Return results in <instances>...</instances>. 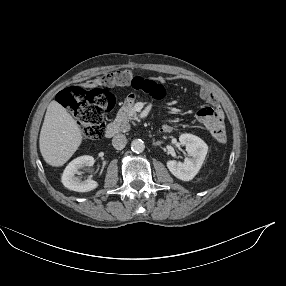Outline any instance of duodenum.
<instances>
[{
  "mask_svg": "<svg viewBox=\"0 0 286 286\" xmlns=\"http://www.w3.org/2000/svg\"><path fill=\"white\" fill-rule=\"evenodd\" d=\"M120 124L118 123H110L107 125L104 135L106 138H112L120 132Z\"/></svg>",
  "mask_w": 286,
  "mask_h": 286,
  "instance_id": "duodenum-1",
  "label": "duodenum"
}]
</instances>
